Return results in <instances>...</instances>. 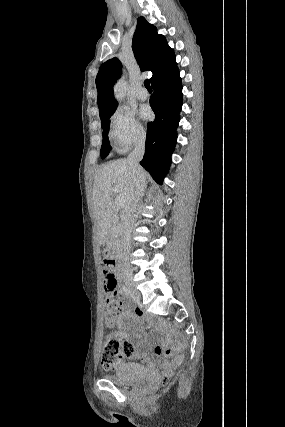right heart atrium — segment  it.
I'll use <instances>...</instances> for the list:
<instances>
[{
  "mask_svg": "<svg viewBox=\"0 0 285 427\" xmlns=\"http://www.w3.org/2000/svg\"><path fill=\"white\" fill-rule=\"evenodd\" d=\"M110 122V137L118 151L125 152L143 141L145 132L134 113L128 108L119 107L111 116Z\"/></svg>",
  "mask_w": 285,
  "mask_h": 427,
  "instance_id": "1",
  "label": "right heart atrium"
}]
</instances>
